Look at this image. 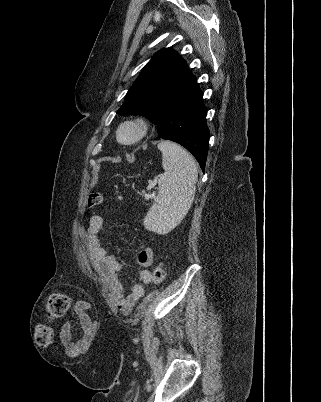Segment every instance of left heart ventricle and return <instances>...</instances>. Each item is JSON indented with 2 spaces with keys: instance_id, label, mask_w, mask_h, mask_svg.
Masks as SVG:
<instances>
[{
  "instance_id": "b2bd125f",
  "label": "left heart ventricle",
  "mask_w": 321,
  "mask_h": 402,
  "mask_svg": "<svg viewBox=\"0 0 321 402\" xmlns=\"http://www.w3.org/2000/svg\"><path fill=\"white\" fill-rule=\"evenodd\" d=\"M134 133L135 132H134L133 129L126 128V129L123 130L121 137H122L123 140H129L134 136Z\"/></svg>"
}]
</instances>
